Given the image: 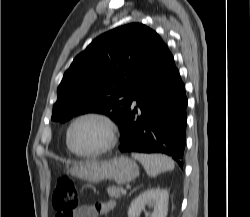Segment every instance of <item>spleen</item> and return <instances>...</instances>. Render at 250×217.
<instances>
[{
  "instance_id": "1",
  "label": "spleen",
  "mask_w": 250,
  "mask_h": 217,
  "mask_svg": "<svg viewBox=\"0 0 250 217\" xmlns=\"http://www.w3.org/2000/svg\"><path fill=\"white\" fill-rule=\"evenodd\" d=\"M132 157L143 165L149 176H156L175 167L174 161L162 154L132 153Z\"/></svg>"
}]
</instances>
